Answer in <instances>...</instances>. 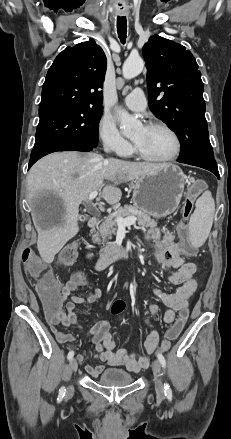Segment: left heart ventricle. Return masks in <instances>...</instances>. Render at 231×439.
<instances>
[{
    "label": "left heart ventricle",
    "instance_id": "obj_1",
    "mask_svg": "<svg viewBox=\"0 0 231 439\" xmlns=\"http://www.w3.org/2000/svg\"><path fill=\"white\" fill-rule=\"evenodd\" d=\"M132 141L144 154L154 158L166 157L174 149L171 136L162 129L142 127L132 137Z\"/></svg>",
    "mask_w": 231,
    "mask_h": 439
}]
</instances>
